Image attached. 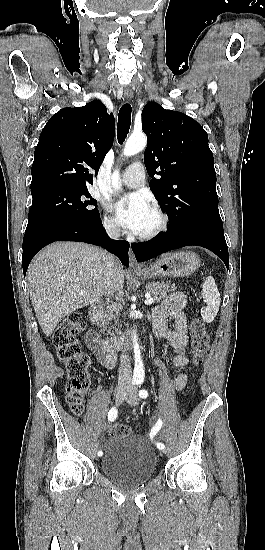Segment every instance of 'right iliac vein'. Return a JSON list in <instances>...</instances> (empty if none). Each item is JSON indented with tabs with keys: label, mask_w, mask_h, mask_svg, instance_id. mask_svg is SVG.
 I'll return each instance as SVG.
<instances>
[{
	"label": "right iliac vein",
	"mask_w": 265,
	"mask_h": 550,
	"mask_svg": "<svg viewBox=\"0 0 265 550\" xmlns=\"http://www.w3.org/2000/svg\"><path fill=\"white\" fill-rule=\"evenodd\" d=\"M128 393V390L125 386H119L116 392V404L120 405L122 401L125 399L126 395ZM97 455V446L95 447L92 456L96 457Z\"/></svg>",
	"instance_id": "63e3f726"
}]
</instances>
